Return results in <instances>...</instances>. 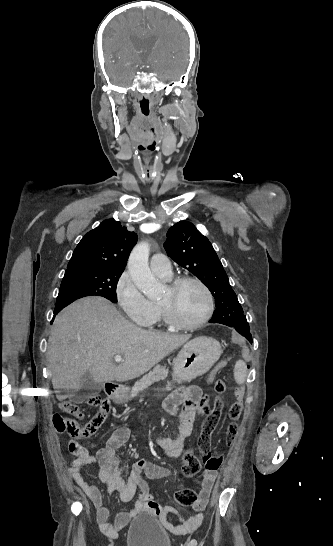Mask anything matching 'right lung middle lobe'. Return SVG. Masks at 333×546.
Instances as JSON below:
<instances>
[{
	"instance_id": "dd1d6c3e",
	"label": "right lung middle lobe",
	"mask_w": 333,
	"mask_h": 546,
	"mask_svg": "<svg viewBox=\"0 0 333 546\" xmlns=\"http://www.w3.org/2000/svg\"><path fill=\"white\" fill-rule=\"evenodd\" d=\"M122 273L123 270H97L91 273L65 274L55 310H61L85 296H102L116 303V286Z\"/></svg>"
}]
</instances>
